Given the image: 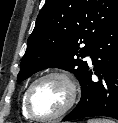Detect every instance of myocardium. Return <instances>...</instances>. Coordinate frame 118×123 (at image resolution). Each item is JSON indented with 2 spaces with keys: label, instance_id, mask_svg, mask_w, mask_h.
Masks as SVG:
<instances>
[{
  "label": "myocardium",
  "instance_id": "obj_1",
  "mask_svg": "<svg viewBox=\"0 0 118 123\" xmlns=\"http://www.w3.org/2000/svg\"><path fill=\"white\" fill-rule=\"evenodd\" d=\"M49 78L61 79L68 86L69 98H68V101L65 104V106L58 113L51 115V116L43 117V116H39V115L35 114V112L33 111L32 106H31V94H32L34 88L40 82H42L46 79H49ZM78 93H79L78 83L72 74H70L69 72L64 71V70H52V71H49V72L41 75L40 77L35 79L30 84V86L28 87V89L26 90V93H25V108H26L28 115L36 121H42V122L53 121V120L61 118L68 111H70V109L74 106V104L77 100Z\"/></svg>",
  "mask_w": 118,
  "mask_h": 123
}]
</instances>
